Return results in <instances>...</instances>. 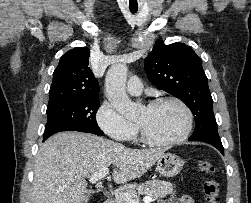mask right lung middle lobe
I'll use <instances>...</instances> for the list:
<instances>
[{
  "instance_id": "dd1d6c3e",
  "label": "right lung middle lobe",
  "mask_w": 251,
  "mask_h": 203,
  "mask_svg": "<svg viewBox=\"0 0 251 203\" xmlns=\"http://www.w3.org/2000/svg\"><path fill=\"white\" fill-rule=\"evenodd\" d=\"M100 100L81 99L63 104L47 107V124L44 137L51 136L61 131H80L103 135L96 122V112Z\"/></svg>"
}]
</instances>
